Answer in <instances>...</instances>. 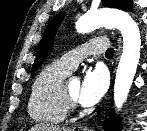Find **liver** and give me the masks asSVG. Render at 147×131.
I'll use <instances>...</instances> for the list:
<instances>
[{"instance_id":"1","label":"liver","mask_w":147,"mask_h":131,"mask_svg":"<svg viewBox=\"0 0 147 131\" xmlns=\"http://www.w3.org/2000/svg\"><path fill=\"white\" fill-rule=\"evenodd\" d=\"M29 131H73L70 127H60L53 124H36Z\"/></svg>"}]
</instances>
